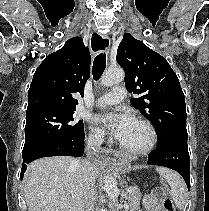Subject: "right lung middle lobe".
Listing matches in <instances>:
<instances>
[{"label":"right lung middle lobe","instance_id":"right-lung-middle-lobe-1","mask_svg":"<svg viewBox=\"0 0 209 211\" xmlns=\"http://www.w3.org/2000/svg\"><path fill=\"white\" fill-rule=\"evenodd\" d=\"M75 109H41L27 113L22 156L48 143L75 140L84 135L83 120L74 119Z\"/></svg>","mask_w":209,"mask_h":211}]
</instances>
